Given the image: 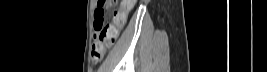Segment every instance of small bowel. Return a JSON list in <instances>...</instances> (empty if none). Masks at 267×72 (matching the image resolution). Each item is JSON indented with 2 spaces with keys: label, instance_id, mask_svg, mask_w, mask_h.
Instances as JSON below:
<instances>
[{
  "label": "small bowel",
  "instance_id": "small-bowel-1",
  "mask_svg": "<svg viewBox=\"0 0 267 72\" xmlns=\"http://www.w3.org/2000/svg\"><path fill=\"white\" fill-rule=\"evenodd\" d=\"M133 0H125L122 2L121 7L123 8V15L120 16H114L113 21L120 27V29L123 27V25L126 22L127 14L130 12V10L134 6Z\"/></svg>",
  "mask_w": 267,
  "mask_h": 72
}]
</instances>
